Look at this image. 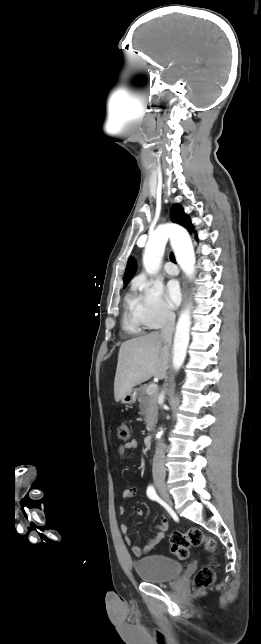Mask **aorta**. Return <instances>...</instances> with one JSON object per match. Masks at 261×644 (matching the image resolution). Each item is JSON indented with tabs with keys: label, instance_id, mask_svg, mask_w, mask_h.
I'll return each instance as SVG.
<instances>
[{
	"label": "aorta",
	"instance_id": "762f6f07",
	"mask_svg": "<svg viewBox=\"0 0 261 644\" xmlns=\"http://www.w3.org/2000/svg\"><path fill=\"white\" fill-rule=\"evenodd\" d=\"M168 238L176 239V234L173 230L160 228L150 235L145 250L143 253V265L146 272L154 275L158 272L162 258L164 255L165 246ZM176 259L187 275H192L194 271L195 255L192 248L175 249ZM190 326L191 317L189 307L185 309L180 315L173 345V366L175 370H179L182 366L187 352V347L190 340Z\"/></svg>",
	"mask_w": 261,
	"mask_h": 644
}]
</instances>
